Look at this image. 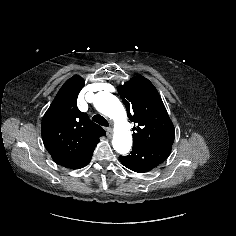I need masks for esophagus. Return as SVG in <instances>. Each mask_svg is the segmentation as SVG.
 Listing matches in <instances>:
<instances>
[{
    "instance_id": "34e87169",
    "label": "esophagus",
    "mask_w": 236,
    "mask_h": 236,
    "mask_svg": "<svg viewBox=\"0 0 236 236\" xmlns=\"http://www.w3.org/2000/svg\"><path fill=\"white\" fill-rule=\"evenodd\" d=\"M112 134H113V129H112L111 127H108V128H107V136H108V137H111Z\"/></svg>"
}]
</instances>
